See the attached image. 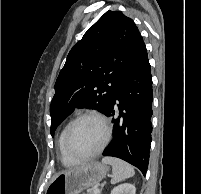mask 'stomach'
Returning a JSON list of instances; mask_svg holds the SVG:
<instances>
[{
  "label": "stomach",
  "instance_id": "0dacf381",
  "mask_svg": "<svg viewBox=\"0 0 201 194\" xmlns=\"http://www.w3.org/2000/svg\"><path fill=\"white\" fill-rule=\"evenodd\" d=\"M108 168L99 162H90L81 167L62 172L54 177L46 194H80L84 189L104 179Z\"/></svg>",
  "mask_w": 201,
  "mask_h": 194
}]
</instances>
